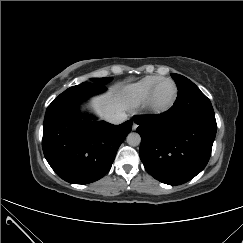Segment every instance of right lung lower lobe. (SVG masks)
I'll return each instance as SVG.
<instances>
[{
	"label": "right lung lower lobe",
	"mask_w": 243,
	"mask_h": 243,
	"mask_svg": "<svg viewBox=\"0 0 243 243\" xmlns=\"http://www.w3.org/2000/svg\"><path fill=\"white\" fill-rule=\"evenodd\" d=\"M105 90V85L83 82L61 93L46 110L44 156L55 173L69 183L87 184L105 176L131 131L132 120L112 125L79 115V102Z\"/></svg>",
	"instance_id": "98d812e1"
}]
</instances>
